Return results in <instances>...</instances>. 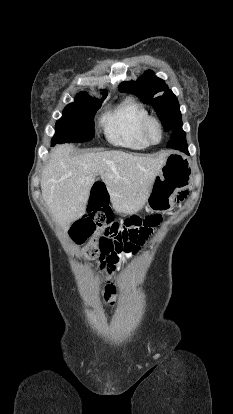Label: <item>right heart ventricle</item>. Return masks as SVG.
I'll use <instances>...</instances> for the list:
<instances>
[{"label": "right heart ventricle", "mask_w": 233, "mask_h": 414, "mask_svg": "<svg viewBox=\"0 0 233 414\" xmlns=\"http://www.w3.org/2000/svg\"><path fill=\"white\" fill-rule=\"evenodd\" d=\"M148 110L138 101L128 98L102 119L108 140L119 146L143 149L150 145L144 137L142 125Z\"/></svg>", "instance_id": "1"}]
</instances>
